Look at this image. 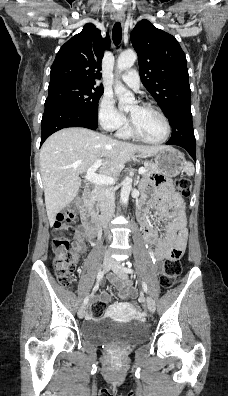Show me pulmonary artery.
Segmentation results:
<instances>
[{
	"label": "pulmonary artery",
	"instance_id": "obj_1",
	"mask_svg": "<svg viewBox=\"0 0 228 396\" xmlns=\"http://www.w3.org/2000/svg\"><path fill=\"white\" fill-rule=\"evenodd\" d=\"M121 78L130 88L134 90H137L140 86L139 75L135 70L125 73Z\"/></svg>",
	"mask_w": 228,
	"mask_h": 396
}]
</instances>
